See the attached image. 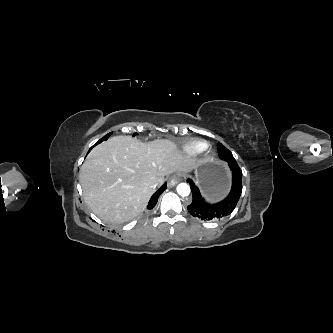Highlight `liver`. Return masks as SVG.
<instances>
[{"label":"liver","mask_w":333,"mask_h":333,"mask_svg":"<svg viewBox=\"0 0 333 333\" xmlns=\"http://www.w3.org/2000/svg\"><path fill=\"white\" fill-rule=\"evenodd\" d=\"M197 163L168 139L148 143L131 136H114L92 149L83 163L79 181L83 197L103 221L123 223L141 214L172 172H187Z\"/></svg>","instance_id":"6515ba94"}]
</instances>
